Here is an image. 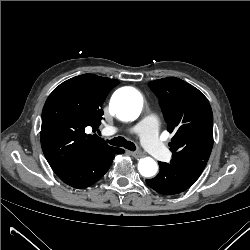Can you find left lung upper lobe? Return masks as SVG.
I'll use <instances>...</instances> for the list:
<instances>
[{
  "mask_svg": "<svg viewBox=\"0 0 250 250\" xmlns=\"http://www.w3.org/2000/svg\"><path fill=\"white\" fill-rule=\"evenodd\" d=\"M149 87L159 98L167 130L174 133L169 143L171 163H207L213 146V114L207 98L176 77L152 81Z\"/></svg>",
  "mask_w": 250,
  "mask_h": 250,
  "instance_id": "left-lung-upper-lobe-1",
  "label": "left lung upper lobe"
}]
</instances>
